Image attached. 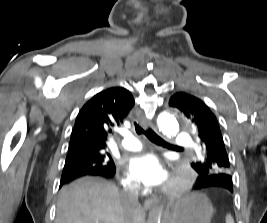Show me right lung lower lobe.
I'll use <instances>...</instances> for the list:
<instances>
[{
	"label": "right lung lower lobe",
	"mask_w": 267,
	"mask_h": 223,
	"mask_svg": "<svg viewBox=\"0 0 267 223\" xmlns=\"http://www.w3.org/2000/svg\"><path fill=\"white\" fill-rule=\"evenodd\" d=\"M115 172H90V173H78V172H63L62 173V177H61V182H60V186H62L63 184L70 182L71 180L78 178V177H82V176H86V175H90V176H101V177H105V178H111L114 176Z\"/></svg>",
	"instance_id": "right-lung-lower-lobe-1"
}]
</instances>
